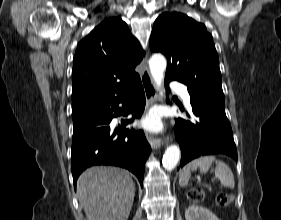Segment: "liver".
Returning a JSON list of instances; mask_svg holds the SVG:
<instances>
[{
    "label": "liver",
    "mask_w": 281,
    "mask_h": 220,
    "mask_svg": "<svg viewBox=\"0 0 281 220\" xmlns=\"http://www.w3.org/2000/svg\"><path fill=\"white\" fill-rule=\"evenodd\" d=\"M135 195V184L116 167L86 169L77 181V196L87 220H127Z\"/></svg>",
    "instance_id": "obj_1"
}]
</instances>
